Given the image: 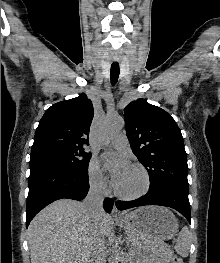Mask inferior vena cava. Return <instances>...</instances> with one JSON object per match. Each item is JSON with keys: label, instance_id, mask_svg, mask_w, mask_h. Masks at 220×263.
<instances>
[{"label": "inferior vena cava", "instance_id": "inferior-vena-cava-1", "mask_svg": "<svg viewBox=\"0 0 220 263\" xmlns=\"http://www.w3.org/2000/svg\"><path fill=\"white\" fill-rule=\"evenodd\" d=\"M103 184L101 180L90 183L88 195L84 201L85 211L93 220H97L103 214ZM105 238L96 236L89 263H104Z\"/></svg>", "mask_w": 220, "mask_h": 263}]
</instances>
